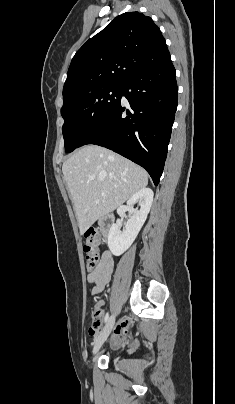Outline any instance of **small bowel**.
Listing matches in <instances>:
<instances>
[{"mask_svg": "<svg viewBox=\"0 0 235 404\" xmlns=\"http://www.w3.org/2000/svg\"><path fill=\"white\" fill-rule=\"evenodd\" d=\"M113 268L114 259L112 253L110 251H104L100 256L97 266L87 275L88 282L94 284L91 290L93 295L99 294L104 290L106 284L110 281ZM95 306L102 307L103 302L98 301ZM127 329L128 321L124 319L114 328V335L111 340L112 345L116 346L123 340V336L127 333ZM99 332V328H90L89 330L90 336L94 339L97 338Z\"/></svg>", "mask_w": 235, "mask_h": 404, "instance_id": "1", "label": "small bowel"}]
</instances>
